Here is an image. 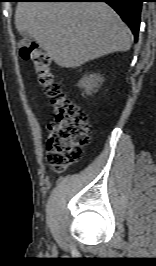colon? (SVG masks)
Instances as JSON below:
<instances>
[{"instance_id":"1","label":"colon","mask_w":156,"mask_h":266,"mask_svg":"<svg viewBox=\"0 0 156 266\" xmlns=\"http://www.w3.org/2000/svg\"><path fill=\"white\" fill-rule=\"evenodd\" d=\"M19 54L32 62L37 82L49 99L54 117L49 127L47 159L53 170L62 171L81 158L89 142L91 127L87 114L63 92L49 56L35 42L21 39Z\"/></svg>"}]
</instances>
